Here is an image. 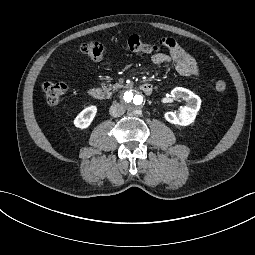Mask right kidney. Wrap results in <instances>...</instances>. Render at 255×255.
Returning a JSON list of instances; mask_svg holds the SVG:
<instances>
[{
  "mask_svg": "<svg viewBox=\"0 0 255 255\" xmlns=\"http://www.w3.org/2000/svg\"><path fill=\"white\" fill-rule=\"evenodd\" d=\"M97 112L96 106H90L85 108L74 120L76 127L84 129L87 128L93 121Z\"/></svg>",
  "mask_w": 255,
  "mask_h": 255,
  "instance_id": "ca27d5eb",
  "label": "right kidney"
}]
</instances>
